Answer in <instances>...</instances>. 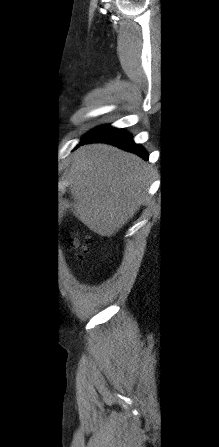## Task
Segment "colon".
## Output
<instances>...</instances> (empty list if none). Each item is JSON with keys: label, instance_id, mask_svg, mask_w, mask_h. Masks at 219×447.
Instances as JSON below:
<instances>
[{"label": "colon", "instance_id": "5ec220e1", "mask_svg": "<svg viewBox=\"0 0 219 447\" xmlns=\"http://www.w3.org/2000/svg\"><path fill=\"white\" fill-rule=\"evenodd\" d=\"M69 245H70V247L78 250L76 258L78 260H82L85 256V254L87 253L88 242L82 241V239L77 236H73L69 239Z\"/></svg>", "mask_w": 219, "mask_h": 447}]
</instances>
